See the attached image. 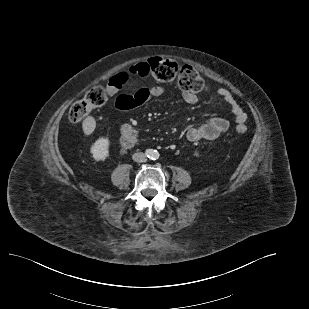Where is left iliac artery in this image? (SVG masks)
I'll list each match as a JSON object with an SVG mask.
<instances>
[{"mask_svg":"<svg viewBox=\"0 0 309 309\" xmlns=\"http://www.w3.org/2000/svg\"><path fill=\"white\" fill-rule=\"evenodd\" d=\"M158 157H159V154H158V153H155V154H154V160L158 159Z\"/></svg>","mask_w":309,"mask_h":309,"instance_id":"1","label":"left iliac artery"}]
</instances>
